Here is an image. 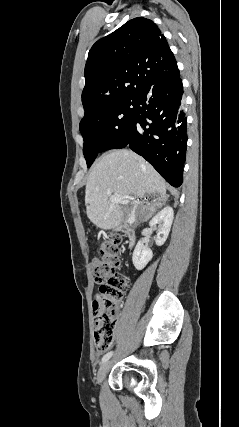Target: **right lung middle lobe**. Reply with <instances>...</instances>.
I'll use <instances>...</instances> for the list:
<instances>
[{"label": "right lung middle lobe", "mask_w": 239, "mask_h": 427, "mask_svg": "<svg viewBox=\"0 0 239 427\" xmlns=\"http://www.w3.org/2000/svg\"><path fill=\"white\" fill-rule=\"evenodd\" d=\"M136 99H116L90 108L80 122L83 154L90 167L99 152L120 148L129 138Z\"/></svg>", "instance_id": "obj_1"}]
</instances>
